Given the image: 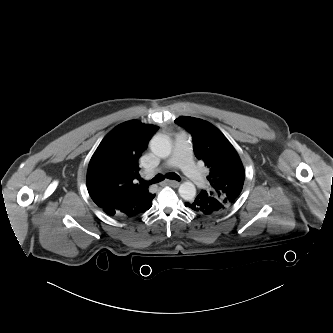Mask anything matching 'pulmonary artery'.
Here are the masks:
<instances>
[{
	"label": "pulmonary artery",
	"instance_id": "1",
	"mask_svg": "<svg viewBox=\"0 0 333 333\" xmlns=\"http://www.w3.org/2000/svg\"><path fill=\"white\" fill-rule=\"evenodd\" d=\"M176 166L182 168L196 186L202 187L205 184L204 176L192 160L190 140L185 133L177 135L172 157L167 159L159 169Z\"/></svg>",
	"mask_w": 333,
	"mask_h": 333
}]
</instances>
